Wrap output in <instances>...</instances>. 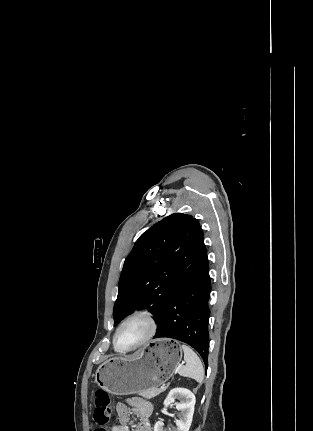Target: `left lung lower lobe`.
Returning a JSON list of instances; mask_svg holds the SVG:
<instances>
[{
	"label": "left lung lower lobe",
	"mask_w": 313,
	"mask_h": 431,
	"mask_svg": "<svg viewBox=\"0 0 313 431\" xmlns=\"http://www.w3.org/2000/svg\"><path fill=\"white\" fill-rule=\"evenodd\" d=\"M207 253L191 276L172 295L157 320L154 338L168 337L193 347L208 367L210 310L208 300L211 291Z\"/></svg>",
	"instance_id": "0a47b994"
}]
</instances>
